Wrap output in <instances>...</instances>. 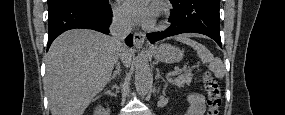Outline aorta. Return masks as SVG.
I'll use <instances>...</instances> for the list:
<instances>
[{"mask_svg": "<svg viewBox=\"0 0 285 115\" xmlns=\"http://www.w3.org/2000/svg\"><path fill=\"white\" fill-rule=\"evenodd\" d=\"M152 84V76L147 57L141 55L135 67V87L141 94L148 93Z\"/></svg>", "mask_w": 285, "mask_h": 115, "instance_id": "aorta-1", "label": "aorta"}]
</instances>
